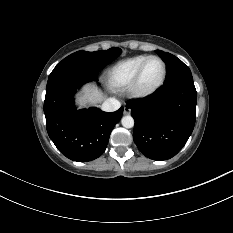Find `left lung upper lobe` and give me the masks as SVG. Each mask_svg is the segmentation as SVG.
Instances as JSON below:
<instances>
[{"label":"left lung upper lobe","mask_w":233,"mask_h":233,"mask_svg":"<svg viewBox=\"0 0 233 233\" xmlns=\"http://www.w3.org/2000/svg\"><path fill=\"white\" fill-rule=\"evenodd\" d=\"M167 64V80L164 85H168L179 80H193L190 69L176 56L163 52L156 51Z\"/></svg>","instance_id":"obj_1"}]
</instances>
